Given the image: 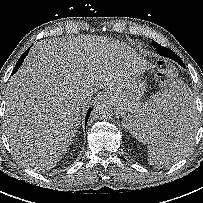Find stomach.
I'll use <instances>...</instances> for the list:
<instances>
[{"mask_svg": "<svg viewBox=\"0 0 203 203\" xmlns=\"http://www.w3.org/2000/svg\"><path fill=\"white\" fill-rule=\"evenodd\" d=\"M145 90V82L139 80L132 82L126 87L115 91L111 96L113 104L122 112L124 115V122L126 128L130 127V116L136 109H139L142 105L141 97ZM127 113V114H126ZM147 140V138H145Z\"/></svg>", "mask_w": 203, "mask_h": 203, "instance_id": "obj_1", "label": "stomach"}]
</instances>
